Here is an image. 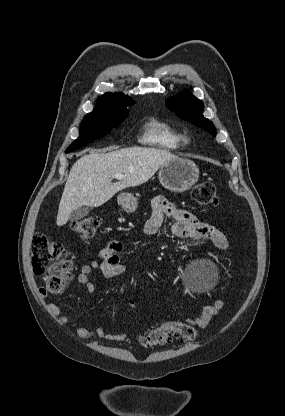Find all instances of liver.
Segmentation results:
<instances>
[{"mask_svg":"<svg viewBox=\"0 0 285 416\" xmlns=\"http://www.w3.org/2000/svg\"><path fill=\"white\" fill-rule=\"evenodd\" d=\"M107 150H115V146ZM84 152L89 154L79 158L69 172L59 204L57 226L67 224L70 214L82 206L99 208L120 190L145 184L163 164L178 158L158 148H122L108 154H102L105 150ZM115 174H124L126 178L113 184Z\"/></svg>","mask_w":285,"mask_h":416,"instance_id":"6515ba94","label":"liver"}]
</instances>
